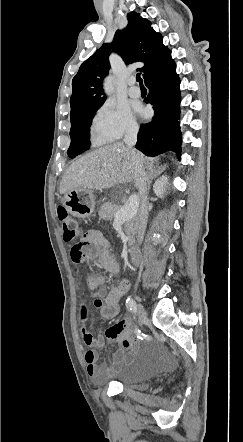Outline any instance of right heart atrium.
<instances>
[{
  "mask_svg": "<svg viewBox=\"0 0 243 442\" xmlns=\"http://www.w3.org/2000/svg\"><path fill=\"white\" fill-rule=\"evenodd\" d=\"M92 130L106 142H116L138 131L137 121L127 106L104 102L93 119Z\"/></svg>",
  "mask_w": 243,
  "mask_h": 442,
  "instance_id": "1",
  "label": "right heart atrium"
}]
</instances>
